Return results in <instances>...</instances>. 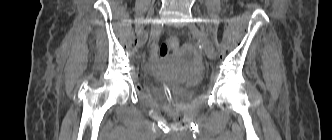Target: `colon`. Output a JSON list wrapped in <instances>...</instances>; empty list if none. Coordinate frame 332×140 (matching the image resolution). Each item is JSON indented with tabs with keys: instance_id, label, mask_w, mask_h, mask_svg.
<instances>
[{
	"instance_id": "1",
	"label": "colon",
	"mask_w": 332,
	"mask_h": 140,
	"mask_svg": "<svg viewBox=\"0 0 332 140\" xmlns=\"http://www.w3.org/2000/svg\"><path fill=\"white\" fill-rule=\"evenodd\" d=\"M179 47V39L177 37H169L159 47V54L162 57L167 56L170 52L175 51Z\"/></svg>"
}]
</instances>
